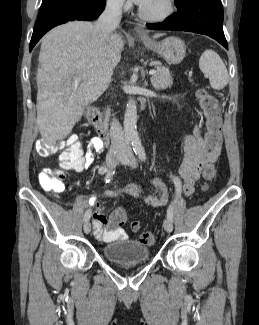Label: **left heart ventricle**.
I'll return each instance as SVG.
<instances>
[{"mask_svg":"<svg viewBox=\"0 0 259 325\" xmlns=\"http://www.w3.org/2000/svg\"><path fill=\"white\" fill-rule=\"evenodd\" d=\"M144 7L151 13L160 12L163 8V0H150V2Z\"/></svg>","mask_w":259,"mask_h":325,"instance_id":"1","label":"left heart ventricle"}]
</instances>
